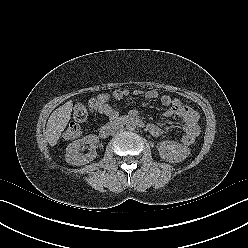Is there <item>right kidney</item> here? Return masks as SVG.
<instances>
[{"instance_id":"1","label":"right kidney","mask_w":248,"mask_h":248,"mask_svg":"<svg viewBox=\"0 0 248 248\" xmlns=\"http://www.w3.org/2000/svg\"><path fill=\"white\" fill-rule=\"evenodd\" d=\"M98 142L99 138L96 135H88L82 139L73 141L66 148V162L77 166L91 162L97 156L96 147ZM87 144L90 146V151L84 154L82 151L85 149V145Z\"/></svg>"}]
</instances>
